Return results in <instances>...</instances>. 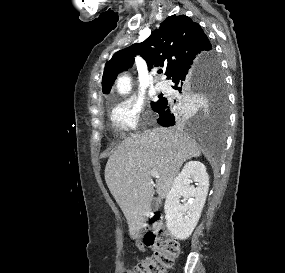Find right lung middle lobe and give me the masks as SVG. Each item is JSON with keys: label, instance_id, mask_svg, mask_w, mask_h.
Instances as JSON below:
<instances>
[{"label": "right lung middle lobe", "instance_id": "1", "mask_svg": "<svg viewBox=\"0 0 285 273\" xmlns=\"http://www.w3.org/2000/svg\"><path fill=\"white\" fill-rule=\"evenodd\" d=\"M196 93L201 94L203 98L214 99L218 103L220 108V122L222 128H224L227 123V93L224 75L221 71L220 62L215 53L208 57V63L199 83V90L196 92L188 90L185 93H182L181 98L177 101L174 100V108L179 107L180 104L185 107V105L193 102L195 99L194 95ZM155 104L156 102H152L151 107Z\"/></svg>", "mask_w": 285, "mask_h": 273}]
</instances>
